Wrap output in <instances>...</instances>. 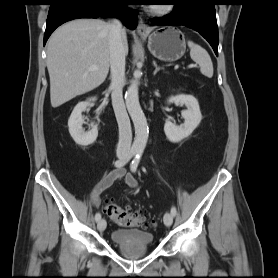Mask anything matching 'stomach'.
Returning a JSON list of instances; mask_svg holds the SVG:
<instances>
[{
	"label": "stomach",
	"instance_id": "1",
	"mask_svg": "<svg viewBox=\"0 0 278 278\" xmlns=\"http://www.w3.org/2000/svg\"><path fill=\"white\" fill-rule=\"evenodd\" d=\"M148 49L154 57L173 62L185 53V37L179 29L174 27H168L162 31L157 30L148 36Z\"/></svg>",
	"mask_w": 278,
	"mask_h": 278
}]
</instances>
